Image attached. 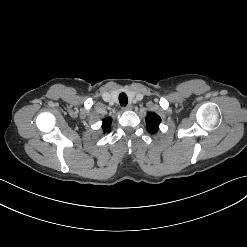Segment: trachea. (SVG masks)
Listing matches in <instances>:
<instances>
[{
    "label": "trachea",
    "instance_id": "trachea-1",
    "mask_svg": "<svg viewBox=\"0 0 247 247\" xmlns=\"http://www.w3.org/2000/svg\"><path fill=\"white\" fill-rule=\"evenodd\" d=\"M119 103L121 106H126L128 104V98L125 93L119 94Z\"/></svg>",
    "mask_w": 247,
    "mask_h": 247
}]
</instances>
